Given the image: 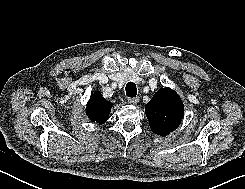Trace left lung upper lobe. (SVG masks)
<instances>
[{
  "label": "left lung upper lobe",
  "instance_id": "obj_1",
  "mask_svg": "<svg viewBox=\"0 0 245 189\" xmlns=\"http://www.w3.org/2000/svg\"><path fill=\"white\" fill-rule=\"evenodd\" d=\"M151 130L160 136L173 132L184 115V106L179 95L170 88L158 90L145 107Z\"/></svg>",
  "mask_w": 245,
  "mask_h": 189
}]
</instances>
